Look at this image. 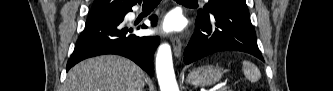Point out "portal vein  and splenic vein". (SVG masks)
Segmentation results:
<instances>
[{
  "label": "portal vein and splenic vein",
  "mask_w": 333,
  "mask_h": 91,
  "mask_svg": "<svg viewBox=\"0 0 333 91\" xmlns=\"http://www.w3.org/2000/svg\"><path fill=\"white\" fill-rule=\"evenodd\" d=\"M226 89V86H215L211 89H209V91H223Z\"/></svg>",
  "instance_id": "18ae733b"
}]
</instances>
